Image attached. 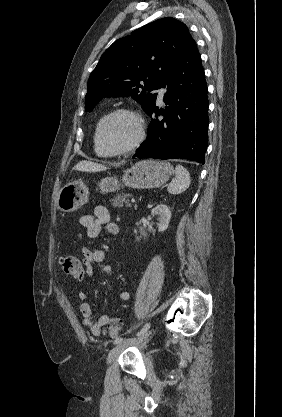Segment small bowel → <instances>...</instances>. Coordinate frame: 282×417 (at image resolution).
<instances>
[{
	"instance_id": "obj_1",
	"label": "small bowel",
	"mask_w": 282,
	"mask_h": 417,
	"mask_svg": "<svg viewBox=\"0 0 282 417\" xmlns=\"http://www.w3.org/2000/svg\"><path fill=\"white\" fill-rule=\"evenodd\" d=\"M78 223L87 231L89 238H97L105 230L109 235L118 236L120 234V226L111 220L108 209L103 205H97L92 214H81L78 218ZM106 259V252L102 248L90 249L88 247L82 248V262H81V278L79 281H85L92 276L94 270L98 269L102 272L105 278H111L113 271L111 267L104 264ZM89 292L82 288L77 292V298L81 302L80 311L83 317V325L90 330L92 335L100 336L104 331V319L114 318L110 315L103 314L94 320L93 312L90 305L87 303ZM119 299L122 302H127L131 299V291L129 289H122L119 292Z\"/></svg>"
}]
</instances>
